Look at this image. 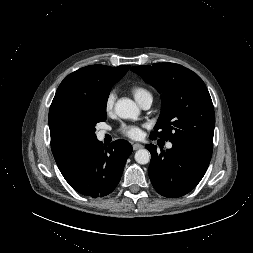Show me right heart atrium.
<instances>
[{"mask_svg": "<svg viewBox=\"0 0 253 253\" xmlns=\"http://www.w3.org/2000/svg\"><path fill=\"white\" fill-rule=\"evenodd\" d=\"M116 101L115 92L111 91L107 94L104 102V110L107 114H111L114 110V105Z\"/></svg>", "mask_w": 253, "mask_h": 253, "instance_id": "1", "label": "right heart atrium"}]
</instances>
